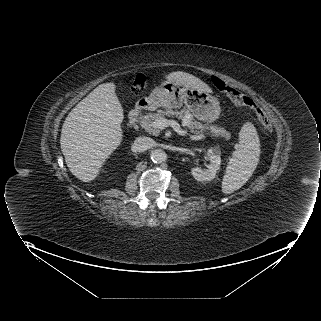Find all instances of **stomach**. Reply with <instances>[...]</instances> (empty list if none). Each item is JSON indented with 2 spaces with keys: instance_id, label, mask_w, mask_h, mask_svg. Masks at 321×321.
Wrapping results in <instances>:
<instances>
[{
  "instance_id": "obj_1",
  "label": "stomach",
  "mask_w": 321,
  "mask_h": 321,
  "mask_svg": "<svg viewBox=\"0 0 321 321\" xmlns=\"http://www.w3.org/2000/svg\"><path fill=\"white\" fill-rule=\"evenodd\" d=\"M151 109L158 107L179 108L184 103L192 115L200 121L212 123L219 118L221 108L218 99L206 91L193 89L165 80L146 98Z\"/></svg>"
}]
</instances>
